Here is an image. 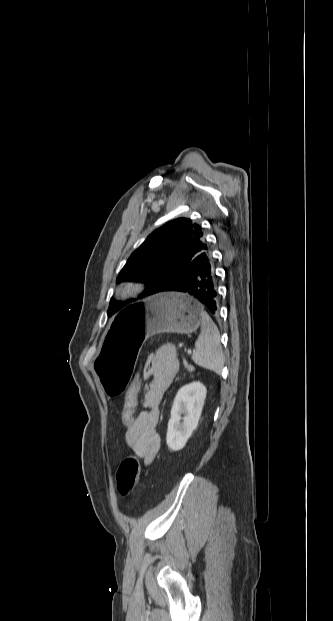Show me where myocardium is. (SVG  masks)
<instances>
[{
    "mask_svg": "<svg viewBox=\"0 0 333 621\" xmlns=\"http://www.w3.org/2000/svg\"><path fill=\"white\" fill-rule=\"evenodd\" d=\"M143 289L144 286L141 283L137 281L127 280L121 282L117 286L116 293L121 299H130L140 294Z\"/></svg>",
    "mask_w": 333,
    "mask_h": 621,
    "instance_id": "myocardium-1",
    "label": "myocardium"
}]
</instances>
